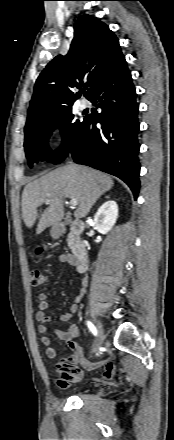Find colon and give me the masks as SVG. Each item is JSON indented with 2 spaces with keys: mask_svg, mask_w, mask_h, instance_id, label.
Returning a JSON list of instances; mask_svg holds the SVG:
<instances>
[{
  "mask_svg": "<svg viewBox=\"0 0 174 440\" xmlns=\"http://www.w3.org/2000/svg\"><path fill=\"white\" fill-rule=\"evenodd\" d=\"M42 252H43V249L38 250V254H41ZM45 280H46V276L42 270L33 269L31 271L30 282H31L32 286L39 287L45 283Z\"/></svg>",
  "mask_w": 174,
  "mask_h": 440,
  "instance_id": "obj_1",
  "label": "colon"
}]
</instances>
